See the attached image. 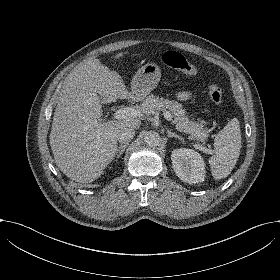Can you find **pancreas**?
I'll list each match as a JSON object with an SVG mask.
<instances>
[{
	"mask_svg": "<svg viewBox=\"0 0 280 280\" xmlns=\"http://www.w3.org/2000/svg\"><path fill=\"white\" fill-rule=\"evenodd\" d=\"M140 109L147 112H152L153 110H159L161 108L169 109L170 113L174 115V123L176 128L183 130L185 133L191 134L190 138L199 144L202 142L203 145L207 144V137L209 135L207 123L203 120L198 122L190 123L185 117V112L182 110V105L178 102H172L165 98H155L153 94H149L146 98L142 99L138 104ZM145 114H147L145 112Z\"/></svg>",
	"mask_w": 280,
	"mask_h": 280,
	"instance_id": "cf45deb5",
	"label": "pancreas"
}]
</instances>
